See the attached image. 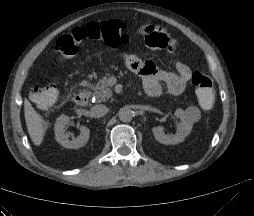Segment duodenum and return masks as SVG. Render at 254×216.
Wrapping results in <instances>:
<instances>
[{
    "mask_svg": "<svg viewBox=\"0 0 254 216\" xmlns=\"http://www.w3.org/2000/svg\"><path fill=\"white\" fill-rule=\"evenodd\" d=\"M74 100L79 106H85L88 104L89 96L86 92L81 91L74 96Z\"/></svg>",
    "mask_w": 254,
    "mask_h": 216,
    "instance_id": "1",
    "label": "duodenum"
}]
</instances>
